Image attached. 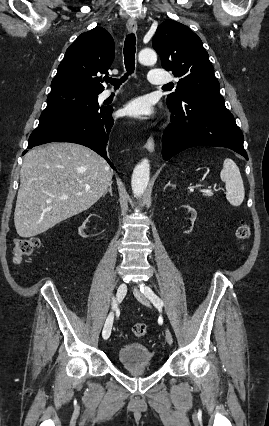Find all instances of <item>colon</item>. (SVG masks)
I'll return each instance as SVG.
<instances>
[{
    "instance_id": "1",
    "label": "colon",
    "mask_w": 269,
    "mask_h": 426,
    "mask_svg": "<svg viewBox=\"0 0 269 426\" xmlns=\"http://www.w3.org/2000/svg\"><path fill=\"white\" fill-rule=\"evenodd\" d=\"M236 236L242 242L250 236V229L246 223H242L236 230ZM40 246V241L36 237L18 238L15 241L14 259L19 262L23 257L31 255ZM133 333L136 337H144L147 334V326L137 323L133 326Z\"/></svg>"
}]
</instances>
